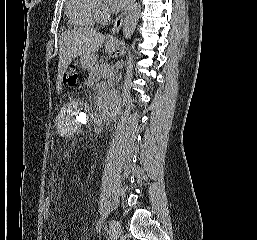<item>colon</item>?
Returning a JSON list of instances; mask_svg holds the SVG:
<instances>
[{"label":"colon","mask_w":257,"mask_h":240,"mask_svg":"<svg viewBox=\"0 0 257 240\" xmlns=\"http://www.w3.org/2000/svg\"><path fill=\"white\" fill-rule=\"evenodd\" d=\"M78 78H79V74L77 69L70 68L64 74L63 83L69 88H74L78 83ZM52 203L53 201L49 197H46L43 202L42 215L45 222H47L51 216Z\"/></svg>","instance_id":"colon-1"}]
</instances>
